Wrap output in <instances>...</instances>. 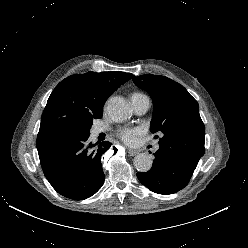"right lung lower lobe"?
Wrapping results in <instances>:
<instances>
[{"label": "right lung lower lobe", "instance_id": "98d812e1", "mask_svg": "<svg viewBox=\"0 0 248 248\" xmlns=\"http://www.w3.org/2000/svg\"><path fill=\"white\" fill-rule=\"evenodd\" d=\"M90 132L68 131L38 150L45 177L61 195L84 200L104 183L101 156L111 143H89Z\"/></svg>", "mask_w": 248, "mask_h": 248}]
</instances>
